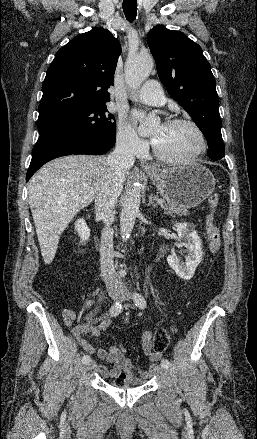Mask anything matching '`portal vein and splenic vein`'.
Instances as JSON below:
<instances>
[{
    "label": "portal vein and splenic vein",
    "instance_id": "18ae733b",
    "mask_svg": "<svg viewBox=\"0 0 257 439\" xmlns=\"http://www.w3.org/2000/svg\"><path fill=\"white\" fill-rule=\"evenodd\" d=\"M157 203L161 205V204L164 203V200H163V199H158V200H157Z\"/></svg>",
    "mask_w": 257,
    "mask_h": 439
}]
</instances>
